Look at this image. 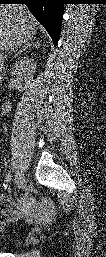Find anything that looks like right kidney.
Listing matches in <instances>:
<instances>
[{
    "label": "right kidney",
    "instance_id": "obj_1",
    "mask_svg": "<svg viewBox=\"0 0 106 257\" xmlns=\"http://www.w3.org/2000/svg\"><path fill=\"white\" fill-rule=\"evenodd\" d=\"M36 69V63L34 59L29 57H24L21 59L18 63H16L12 68V74L16 78L17 89H23L24 84H27L30 82V80L33 78V74ZM6 104H9L6 103ZM8 105H6V108Z\"/></svg>",
    "mask_w": 106,
    "mask_h": 257
}]
</instances>
